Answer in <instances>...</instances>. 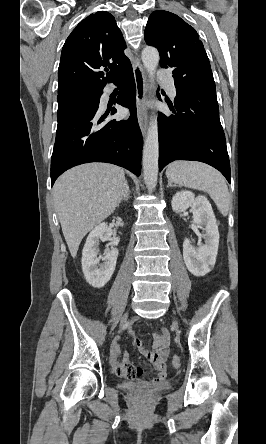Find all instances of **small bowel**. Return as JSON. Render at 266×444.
<instances>
[{
	"label": "small bowel",
	"instance_id": "obj_1",
	"mask_svg": "<svg viewBox=\"0 0 266 444\" xmlns=\"http://www.w3.org/2000/svg\"><path fill=\"white\" fill-rule=\"evenodd\" d=\"M153 340L156 346L154 350L145 348L138 339L135 341L139 352L152 363L154 369L157 371V375L153 379L146 380L143 370L130 363L129 355L127 353L122 355L121 361H114L113 367L116 374L143 385L154 386L164 383L167 376L166 360L169 353V334L166 330H162L153 335ZM119 349V341L115 340L112 346L114 356L118 354Z\"/></svg>",
	"mask_w": 266,
	"mask_h": 444
}]
</instances>
